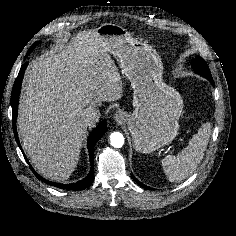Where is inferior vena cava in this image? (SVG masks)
<instances>
[{
	"label": "inferior vena cava",
	"instance_id": "602c4592",
	"mask_svg": "<svg viewBox=\"0 0 236 236\" xmlns=\"http://www.w3.org/2000/svg\"><path fill=\"white\" fill-rule=\"evenodd\" d=\"M100 111L95 107H88L83 112V123L87 126H91L99 121Z\"/></svg>",
	"mask_w": 236,
	"mask_h": 236
}]
</instances>
